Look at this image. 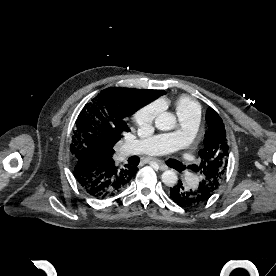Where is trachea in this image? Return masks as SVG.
Returning <instances> with one entry per match:
<instances>
[{
	"label": "trachea",
	"instance_id": "trachea-1",
	"mask_svg": "<svg viewBox=\"0 0 276 276\" xmlns=\"http://www.w3.org/2000/svg\"><path fill=\"white\" fill-rule=\"evenodd\" d=\"M139 162H140V158L138 156H132L129 158V163L133 166H137ZM167 165L179 171H182L186 168L185 166H183L182 163L174 159L169 160L167 162Z\"/></svg>",
	"mask_w": 276,
	"mask_h": 276
}]
</instances>
